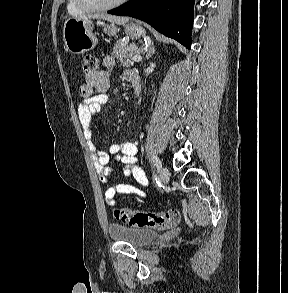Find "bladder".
Here are the masks:
<instances>
[{"label":"bladder","mask_w":288,"mask_h":293,"mask_svg":"<svg viewBox=\"0 0 288 293\" xmlns=\"http://www.w3.org/2000/svg\"><path fill=\"white\" fill-rule=\"evenodd\" d=\"M108 231L113 240L128 243L135 247L145 246L157 237L156 231L150 228L127 226L119 223L110 224Z\"/></svg>","instance_id":"bladder-1"}]
</instances>
